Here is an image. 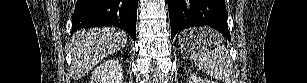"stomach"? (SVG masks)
Listing matches in <instances>:
<instances>
[{"mask_svg": "<svg viewBox=\"0 0 307 83\" xmlns=\"http://www.w3.org/2000/svg\"><path fill=\"white\" fill-rule=\"evenodd\" d=\"M195 35V30H186L179 36L181 47L185 50H192L195 47V40L191 36Z\"/></svg>", "mask_w": 307, "mask_h": 83, "instance_id": "obj_1", "label": "stomach"}]
</instances>
